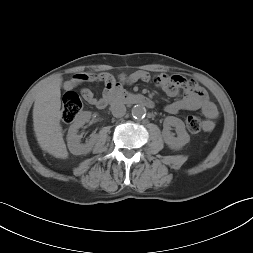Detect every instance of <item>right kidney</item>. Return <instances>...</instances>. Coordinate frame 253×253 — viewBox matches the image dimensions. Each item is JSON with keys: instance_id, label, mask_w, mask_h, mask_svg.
I'll list each match as a JSON object with an SVG mask.
<instances>
[{"instance_id": "1", "label": "right kidney", "mask_w": 253, "mask_h": 253, "mask_svg": "<svg viewBox=\"0 0 253 253\" xmlns=\"http://www.w3.org/2000/svg\"><path fill=\"white\" fill-rule=\"evenodd\" d=\"M91 118V112H83L78 118L74 121V123L69 127L68 135H67V145L69 151L73 155H81V154H88L94 147L95 143L97 142V135L92 134L90 139L87 141L86 144H81L80 139L81 136L78 135V130L83 127V125L88 122Z\"/></svg>"}]
</instances>
